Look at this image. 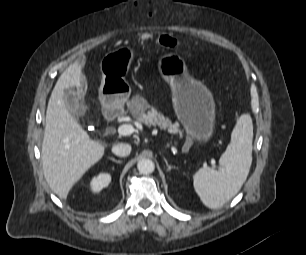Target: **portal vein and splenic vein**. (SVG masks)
<instances>
[{"mask_svg": "<svg viewBox=\"0 0 306 255\" xmlns=\"http://www.w3.org/2000/svg\"><path fill=\"white\" fill-rule=\"evenodd\" d=\"M117 132L122 136L131 135L134 132V127L131 124H122L118 127ZM211 163L214 164L215 160L212 159Z\"/></svg>", "mask_w": 306, "mask_h": 255, "instance_id": "obj_1", "label": "portal vein and splenic vein"}]
</instances>
